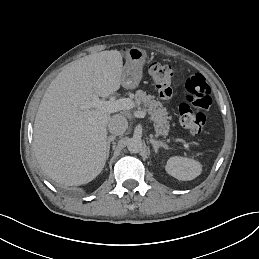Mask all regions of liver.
<instances>
[{
  "instance_id": "obj_1",
  "label": "liver",
  "mask_w": 259,
  "mask_h": 259,
  "mask_svg": "<svg viewBox=\"0 0 259 259\" xmlns=\"http://www.w3.org/2000/svg\"><path fill=\"white\" fill-rule=\"evenodd\" d=\"M123 57L101 51L69 63L50 83L39 105L33 151L41 169L66 185L92 181L107 159L109 113L80 110L93 95L108 97L120 88Z\"/></svg>"
}]
</instances>
